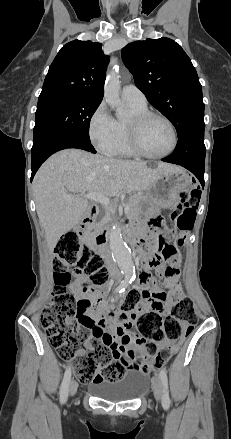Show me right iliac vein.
<instances>
[{
    "label": "right iliac vein",
    "instance_id": "1",
    "mask_svg": "<svg viewBox=\"0 0 231 439\" xmlns=\"http://www.w3.org/2000/svg\"><path fill=\"white\" fill-rule=\"evenodd\" d=\"M76 391H77V383L75 381H72L70 385V395H74Z\"/></svg>",
    "mask_w": 231,
    "mask_h": 439
}]
</instances>
